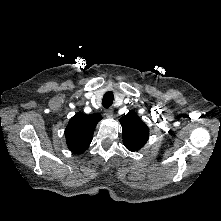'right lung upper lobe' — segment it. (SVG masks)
Returning <instances> with one entry per match:
<instances>
[{
  "mask_svg": "<svg viewBox=\"0 0 221 221\" xmlns=\"http://www.w3.org/2000/svg\"><path fill=\"white\" fill-rule=\"evenodd\" d=\"M102 119L99 114L85 115L78 112L65 129L66 143L70 151L81 154L88 149L97 123Z\"/></svg>",
  "mask_w": 221,
  "mask_h": 221,
  "instance_id": "right-lung-upper-lobe-1",
  "label": "right lung upper lobe"
}]
</instances>
